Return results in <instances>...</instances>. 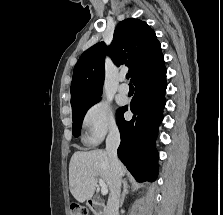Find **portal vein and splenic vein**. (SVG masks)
Masks as SVG:
<instances>
[{
	"label": "portal vein and splenic vein",
	"instance_id": "obj_1",
	"mask_svg": "<svg viewBox=\"0 0 223 215\" xmlns=\"http://www.w3.org/2000/svg\"><path fill=\"white\" fill-rule=\"evenodd\" d=\"M98 181H99V185H101L102 195H106V193H108V187H107L105 181H103V179H101V177H99Z\"/></svg>",
	"mask_w": 223,
	"mask_h": 215
}]
</instances>
